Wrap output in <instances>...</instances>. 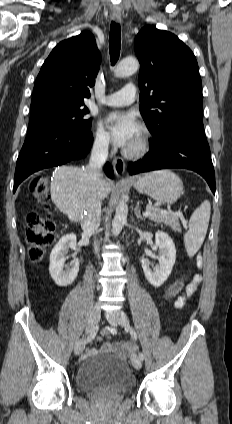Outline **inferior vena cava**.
Returning a JSON list of instances; mask_svg holds the SVG:
<instances>
[{
    "label": "inferior vena cava",
    "mask_w": 232,
    "mask_h": 424,
    "mask_svg": "<svg viewBox=\"0 0 232 424\" xmlns=\"http://www.w3.org/2000/svg\"><path fill=\"white\" fill-rule=\"evenodd\" d=\"M108 145V140L97 139L91 151L89 164L85 168V173L91 180L89 208L84 212V216L81 219V227L86 235L95 233L100 225L102 186L104 183L101 168L107 160ZM94 246L95 252H97L98 244L96 241Z\"/></svg>",
    "instance_id": "1"
}]
</instances>
